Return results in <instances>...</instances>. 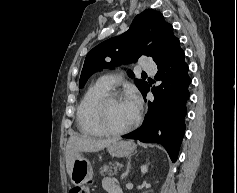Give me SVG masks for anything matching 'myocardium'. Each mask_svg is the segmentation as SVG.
I'll return each mask as SVG.
<instances>
[{
	"label": "myocardium",
	"instance_id": "obj_1",
	"mask_svg": "<svg viewBox=\"0 0 237 193\" xmlns=\"http://www.w3.org/2000/svg\"><path fill=\"white\" fill-rule=\"evenodd\" d=\"M123 99L124 97L122 95L115 92H109L108 94L104 95L96 104L95 109H94V121H95L96 126L105 135L121 136L131 131L138 124L139 119H140L139 112L136 114V117L134 118L132 123H130L127 127L120 130H114L105 123L104 118H105V114H106L108 106L113 102H117Z\"/></svg>",
	"mask_w": 237,
	"mask_h": 193
}]
</instances>
